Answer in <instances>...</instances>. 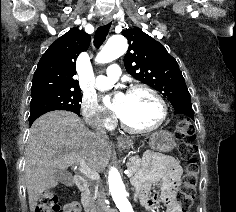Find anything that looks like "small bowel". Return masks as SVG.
Returning <instances> with one entry per match:
<instances>
[{
    "mask_svg": "<svg viewBox=\"0 0 236 212\" xmlns=\"http://www.w3.org/2000/svg\"><path fill=\"white\" fill-rule=\"evenodd\" d=\"M152 160L134 178V184L140 192L142 204L147 212L152 211L160 202H164L166 212H180L179 205L174 198V187L177 184L182 169L176 159L172 157L150 155ZM163 181L161 190L150 196L151 184ZM63 212H81L78 203H66Z\"/></svg>",
    "mask_w": 236,
    "mask_h": 212,
    "instance_id": "obj_1",
    "label": "small bowel"
}]
</instances>
